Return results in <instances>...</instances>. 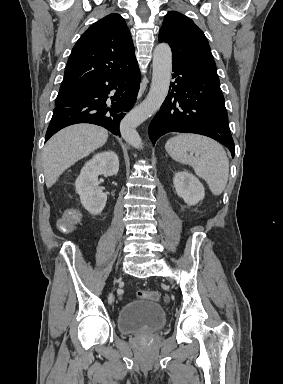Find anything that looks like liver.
I'll use <instances>...</instances> for the list:
<instances>
[{"instance_id":"liver-1","label":"liver","mask_w":283,"mask_h":384,"mask_svg":"<svg viewBox=\"0 0 283 384\" xmlns=\"http://www.w3.org/2000/svg\"><path fill=\"white\" fill-rule=\"evenodd\" d=\"M107 140V130L91 124L69 126L52 136L42 156L47 188H51L65 170L74 166L78 160L89 156L91 152H95L97 148L104 146Z\"/></svg>"}]
</instances>
